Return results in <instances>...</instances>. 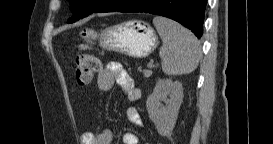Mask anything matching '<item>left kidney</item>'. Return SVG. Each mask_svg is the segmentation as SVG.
Returning <instances> with one entry per match:
<instances>
[{
  "label": "left kidney",
  "instance_id": "5707ae66",
  "mask_svg": "<svg viewBox=\"0 0 273 144\" xmlns=\"http://www.w3.org/2000/svg\"><path fill=\"white\" fill-rule=\"evenodd\" d=\"M182 100V83L173 82L171 79H159L157 81L153 93L147 98L146 107L149 118L155 124L160 135L171 136ZM161 101L166 106H163Z\"/></svg>",
  "mask_w": 273,
  "mask_h": 144
}]
</instances>
